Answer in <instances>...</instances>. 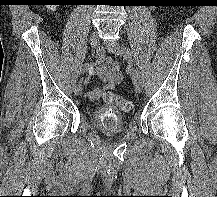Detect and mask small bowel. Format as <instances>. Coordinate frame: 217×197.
<instances>
[{"mask_svg":"<svg viewBox=\"0 0 217 197\" xmlns=\"http://www.w3.org/2000/svg\"><path fill=\"white\" fill-rule=\"evenodd\" d=\"M97 74L104 85L88 91V97L93 100L99 99L105 91L113 90L122 81L119 63L112 57L105 56L103 51L98 55Z\"/></svg>","mask_w":217,"mask_h":197,"instance_id":"obj_1","label":"small bowel"}]
</instances>
